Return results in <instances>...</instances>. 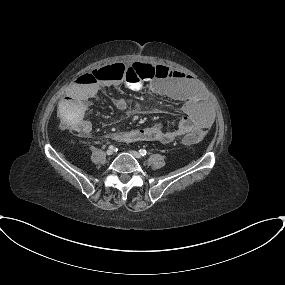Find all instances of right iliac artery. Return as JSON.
I'll return each instance as SVG.
<instances>
[{"label": "right iliac artery", "instance_id": "right-iliac-artery-1", "mask_svg": "<svg viewBox=\"0 0 285 285\" xmlns=\"http://www.w3.org/2000/svg\"><path fill=\"white\" fill-rule=\"evenodd\" d=\"M109 149L115 150V147L113 145H110Z\"/></svg>", "mask_w": 285, "mask_h": 285}]
</instances>
